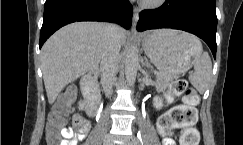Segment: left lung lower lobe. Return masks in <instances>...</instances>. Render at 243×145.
<instances>
[{
	"mask_svg": "<svg viewBox=\"0 0 243 145\" xmlns=\"http://www.w3.org/2000/svg\"><path fill=\"white\" fill-rule=\"evenodd\" d=\"M156 28L184 30L203 39L216 57L217 16L215 6L197 4L191 0H166L153 10L139 13L138 31Z\"/></svg>",
	"mask_w": 243,
	"mask_h": 145,
	"instance_id": "left-lung-lower-lobe-1",
	"label": "left lung lower lobe"
}]
</instances>
